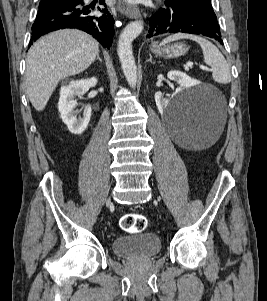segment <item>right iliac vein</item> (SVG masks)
Returning <instances> with one entry per match:
<instances>
[{"instance_id":"obj_1","label":"right iliac vein","mask_w":267,"mask_h":301,"mask_svg":"<svg viewBox=\"0 0 267 301\" xmlns=\"http://www.w3.org/2000/svg\"><path fill=\"white\" fill-rule=\"evenodd\" d=\"M106 204H107V205L111 204V200H108V201L106 202Z\"/></svg>"}]
</instances>
